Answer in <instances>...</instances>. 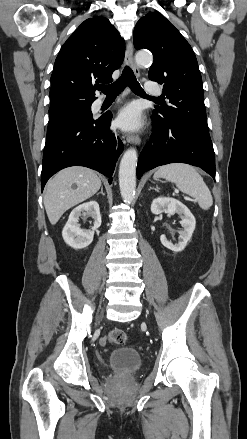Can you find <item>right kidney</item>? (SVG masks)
<instances>
[{
	"label": "right kidney",
	"mask_w": 247,
	"mask_h": 439,
	"mask_svg": "<svg viewBox=\"0 0 247 439\" xmlns=\"http://www.w3.org/2000/svg\"><path fill=\"white\" fill-rule=\"evenodd\" d=\"M81 215H89L94 220L91 229H82L78 223ZM101 225L99 204L96 201H89L74 208L69 219L63 228L62 236L66 244L74 249L86 248L91 244L94 231Z\"/></svg>",
	"instance_id": "right-kidney-1"
}]
</instances>
